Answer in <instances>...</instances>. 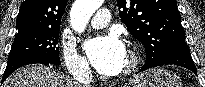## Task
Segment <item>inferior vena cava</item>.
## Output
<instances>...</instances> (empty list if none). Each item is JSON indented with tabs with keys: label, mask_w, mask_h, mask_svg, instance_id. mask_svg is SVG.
<instances>
[{
	"label": "inferior vena cava",
	"mask_w": 205,
	"mask_h": 87,
	"mask_svg": "<svg viewBox=\"0 0 205 87\" xmlns=\"http://www.w3.org/2000/svg\"><path fill=\"white\" fill-rule=\"evenodd\" d=\"M76 79L83 84V86H89L92 81V75L87 68H83L77 75Z\"/></svg>",
	"instance_id": "1"
}]
</instances>
